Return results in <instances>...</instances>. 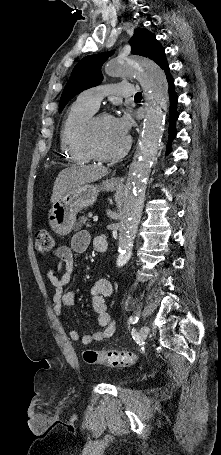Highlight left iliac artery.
Here are the masks:
<instances>
[{"mask_svg":"<svg viewBox=\"0 0 221 455\" xmlns=\"http://www.w3.org/2000/svg\"><path fill=\"white\" fill-rule=\"evenodd\" d=\"M137 321H138V317H136V316H132L129 318V323L134 324V323H137Z\"/></svg>","mask_w":221,"mask_h":455,"instance_id":"obj_1","label":"left iliac artery"}]
</instances>
